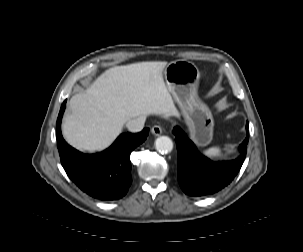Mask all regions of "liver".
Wrapping results in <instances>:
<instances>
[{"label": "liver", "mask_w": 303, "mask_h": 252, "mask_svg": "<svg viewBox=\"0 0 303 252\" xmlns=\"http://www.w3.org/2000/svg\"><path fill=\"white\" fill-rule=\"evenodd\" d=\"M167 62L115 66L102 73L84 92L74 95L62 124L66 141L89 152L107 148L129 120L155 114L177 116L163 79Z\"/></svg>", "instance_id": "liver-1"}]
</instances>
